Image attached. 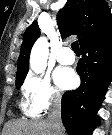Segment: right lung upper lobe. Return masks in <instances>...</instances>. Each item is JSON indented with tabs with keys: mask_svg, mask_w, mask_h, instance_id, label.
<instances>
[{
	"mask_svg": "<svg viewBox=\"0 0 112 135\" xmlns=\"http://www.w3.org/2000/svg\"><path fill=\"white\" fill-rule=\"evenodd\" d=\"M57 23L62 36L77 35L82 46L112 31V14L105 0H67L57 14ZM39 36L34 21L23 36L16 79L26 77L30 51Z\"/></svg>",
	"mask_w": 112,
	"mask_h": 135,
	"instance_id": "1",
	"label": "right lung upper lobe"
}]
</instances>
